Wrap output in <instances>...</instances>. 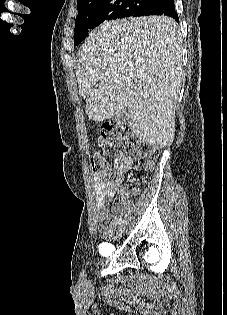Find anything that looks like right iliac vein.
Returning a JSON list of instances; mask_svg holds the SVG:
<instances>
[{
  "label": "right iliac vein",
  "mask_w": 227,
  "mask_h": 315,
  "mask_svg": "<svg viewBox=\"0 0 227 315\" xmlns=\"http://www.w3.org/2000/svg\"><path fill=\"white\" fill-rule=\"evenodd\" d=\"M123 232H124V226H123V225H120V226L117 228V234H118V235H121Z\"/></svg>",
  "instance_id": "obj_1"
}]
</instances>
